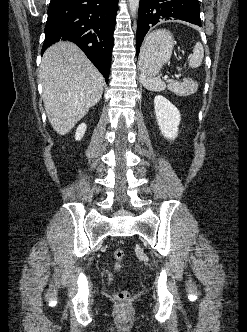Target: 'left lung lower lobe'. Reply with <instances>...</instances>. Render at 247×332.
Returning <instances> with one entry per match:
<instances>
[{"instance_id": "obj_1", "label": "left lung lower lobe", "mask_w": 247, "mask_h": 332, "mask_svg": "<svg viewBox=\"0 0 247 332\" xmlns=\"http://www.w3.org/2000/svg\"><path fill=\"white\" fill-rule=\"evenodd\" d=\"M180 19L201 26L198 0H140L137 23L136 54L144 36L162 20Z\"/></svg>"}]
</instances>
